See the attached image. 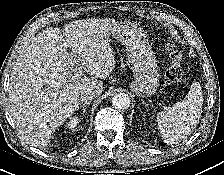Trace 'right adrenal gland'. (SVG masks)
Listing matches in <instances>:
<instances>
[{"mask_svg": "<svg viewBox=\"0 0 224 175\" xmlns=\"http://www.w3.org/2000/svg\"><path fill=\"white\" fill-rule=\"evenodd\" d=\"M88 104H90V102H87V103H84V104L78 106V107H77V111L80 110V109L82 108V109H83V113H85V111H86L85 107H86V105H88Z\"/></svg>", "mask_w": 224, "mask_h": 175, "instance_id": "2a0ac1e0", "label": "right adrenal gland"}]
</instances>
